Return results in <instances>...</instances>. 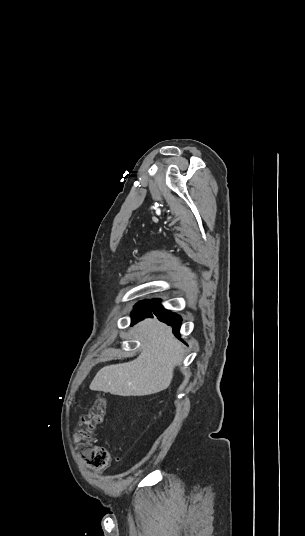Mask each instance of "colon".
<instances>
[{"instance_id":"obj_1","label":"colon","mask_w":305,"mask_h":536,"mask_svg":"<svg viewBox=\"0 0 305 536\" xmlns=\"http://www.w3.org/2000/svg\"><path fill=\"white\" fill-rule=\"evenodd\" d=\"M105 413V401L98 398L92 408L79 419L76 441L82 443L79 447L81 462H90L89 468L102 469L109 462V451L104 445L84 443L91 439L96 427L102 422Z\"/></svg>"}]
</instances>
